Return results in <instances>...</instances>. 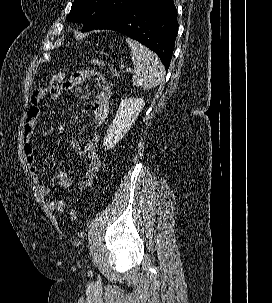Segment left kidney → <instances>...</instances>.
I'll list each match as a JSON object with an SVG mask.
<instances>
[{
  "label": "left kidney",
  "mask_w": 272,
  "mask_h": 303,
  "mask_svg": "<svg viewBox=\"0 0 272 303\" xmlns=\"http://www.w3.org/2000/svg\"><path fill=\"white\" fill-rule=\"evenodd\" d=\"M145 102L143 98H128L121 101L118 111L109 126L103 141L105 150L113 148L135 123Z\"/></svg>",
  "instance_id": "obj_1"
}]
</instances>
